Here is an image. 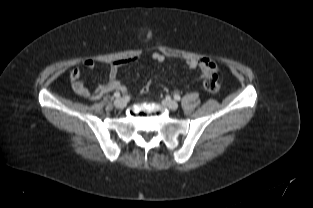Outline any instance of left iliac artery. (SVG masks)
Returning a JSON list of instances; mask_svg holds the SVG:
<instances>
[{
    "instance_id": "1",
    "label": "left iliac artery",
    "mask_w": 313,
    "mask_h": 208,
    "mask_svg": "<svg viewBox=\"0 0 313 208\" xmlns=\"http://www.w3.org/2000/svg\"><path fill=\"white\" fill-rule=\"evenodd\" d=\"M174 99L177 100V101H180L181 97L178 94H175L174 95Z\"/></svg>"
}]
</instances>
